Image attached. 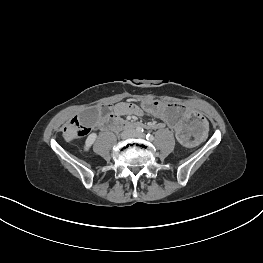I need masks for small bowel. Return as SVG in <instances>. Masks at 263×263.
Here are the masks:
<instances>
[{
	"instance_id": "c3829d8e",
	"label": "small bowel",
	"mask_w": 263,
	"mask_h": 263,
	"mask_svg": "<svg viewBox=\"0 0 263 263\" xmlns=\"http://www.w3.org/2000/svg\"><path fill=\"white\" fill-rule=\"evenodd\" d=\"M114 112L117 116L122 115H141L143 110L135 104L121 102L114 106ZM165 126L164 123L154 124L152 128L161 129ZM171 128V127H170Z\"/></svg>"
}]
</instances>
